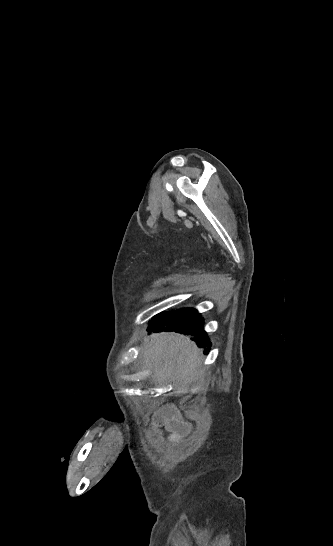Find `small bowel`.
<instances>
[{"instance_id": "1", "label": "small bowel", "mask_w": 333, "mask_h": 546, "mask_svg": "<svg viewBox=\"0 0 333 546\" xmlns=\"http://www.w3.org/2000/svg\"><path fill=\"white\" fill-rule=\"evenodd\" d=\"M164 426L169 432L168 440L174 443H178L189 429V424L182 420L167 421Z\"/></svg>"}]
</instances>
